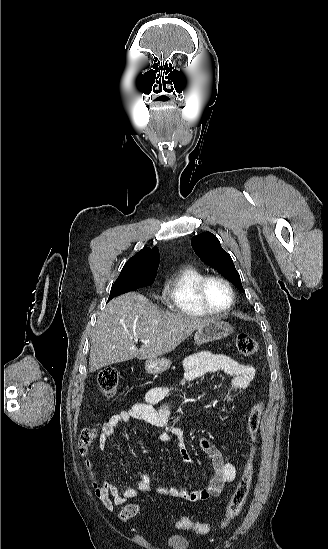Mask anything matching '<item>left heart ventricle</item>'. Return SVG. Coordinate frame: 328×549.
<instances>
[{"label":"left heart ventricle","mask_w":328,"mask_h":549,"mask_svg":"<svg viewBox=\"0 0 328 549\" xmlns=\"http://www.w3.org/2000/svg\"><path fill=\"white\" fill-rule=\"evenodd\" d=\"M206 298L208 301V308L221 311L230 303V292L228 288L221 282H211L206 290Z\"/></svg>","instance_id":"1"}]
</instances>
